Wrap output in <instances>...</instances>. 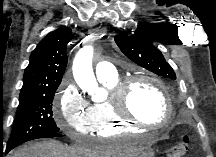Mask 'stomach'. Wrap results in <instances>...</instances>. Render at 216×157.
<instances>
[{"mask_svg": "<svg viewBox=\"0 0 216 157\" xmlns=\"http://www.w3.org/2000/svg\"><path fill=\"white\" fill-rule=\"evenodd\" d=\"M137 157H154V153L151 149H146L141 152Z\"/></svg>", "mask_w": 216, "mask_h": 157, "instance_id": "stomach-1", "label": "stomach"}]
</instances>
